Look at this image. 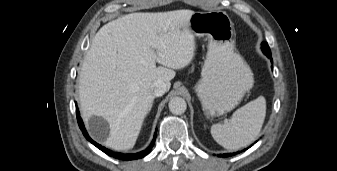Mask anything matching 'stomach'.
<instances>
[{
  "label": "stomach",
  "mask_w": 337,
  "mask_h": 171,
  "mask_svg": "<svg viewBox=\"0 0 337 171\" xmlns=\"http://www.w3.org/2000/svg\"><path fill=\"white\" fill-rule=\"evenodd\" d=\"M194 37H206L208 51L195 92L207 118L233 110L253 87L249 65L235 48V30L226 12H195L189 20Z\"/></svg>",
  "instance_id": "obj_1"
}]
</instances>
